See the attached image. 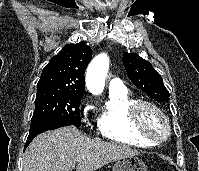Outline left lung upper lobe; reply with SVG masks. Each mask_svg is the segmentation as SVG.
<instances>
[{
	"instance_id": "left-lung-upper-lobe-1",
	"label": "left lung upper lobe",
	"mask_w": 199,
	"mask_h": 171,
	"mask_svg": "<svg viewBox=\"0 0 199 171\" xmlns=\"http://www.w3.org/2000/svg\"><path fill=\"white\" fill-rule=\"evenodd\" d=\"M123 64L133 84L150 95L156 101H169V92L163 84L162 77L150 62L135 53L125 52Z\"/></svg>"
}]
</instances>
